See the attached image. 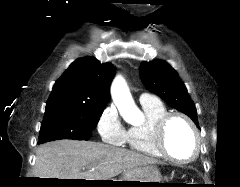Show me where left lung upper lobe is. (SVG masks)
Masks as SVG:
<instances>
[{
	"mask_svg": "<svg viewBox=\"0 0 240 187\" xmlns=\"http://www.w3.org/2000/svg\"><path fill=\"white\" fill-rule=\"evenodd\" d=\"M140 75L146 88L160 96L171 107L188 115L198 126L197 110L184 83L165 61L142 62Z\"/></svg>",
	"mask_w": 240,
	"mask_h": 187,
	"instance_id": "obj_1",
	"label": "left lung upper lobe"
}]
</instances>
